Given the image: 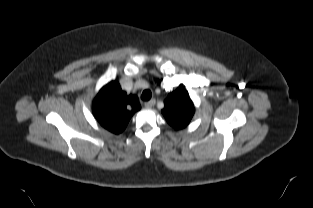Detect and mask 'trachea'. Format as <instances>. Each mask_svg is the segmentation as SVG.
Masks as SVG:
<instances>
[{
	"mask_svg": "<svg viewBox=\"0 0 313 208\" xmlns=\"http://www.w3.org/2000/svg\"><path fill=\"white\" fill-rule=\"evenodd\" d=\"M152 94L150 92V90H144L142 95H141V98L144 100V101H148L150 100Z\"/></svg>",
	"mask_w": 313,
	"mask_h": 208,
	"instance_id": "obj_1",
	"label": "trachea"
}]
</instances>
